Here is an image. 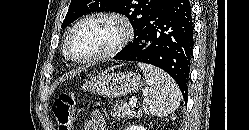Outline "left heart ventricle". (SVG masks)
<instances>
[{"instance_id":"b2bd125f","label":"left heart ventricle","mask_w":249,"mask_h":130,"mask_svg":"<svg viewBox=\"0 0 249 130\" xmlns=\"http://www.w3.org/2000/svg\"><path fill=\"white\" fill-rule=\"evenodd\" d=\"M121 26L108 19L83 23L72 36L69 50L76 58H86L110 49L120 38Z\"/></svg>"}]
</instances>
